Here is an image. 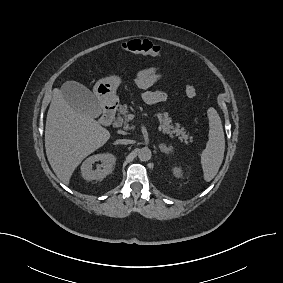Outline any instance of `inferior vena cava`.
Here are the masks:
<instances>
[{
    "instance_id": "1",
    "label": "inferior vena cava",
    "mask_w": 283,
    "mask_h": 283,
    "mask_svg": "<svg viewBox=\"0 0 283 283\" xmlns=\"http://www.w3.org/2000/svg\"><path fill=\"white\" fill-rule=\"evenodd\" d=\"M118 143H120V144H130V143H132V141L128 140V139H120V140H118Z\"/></svg>"
}]
</instances>
